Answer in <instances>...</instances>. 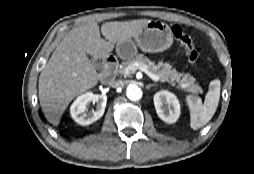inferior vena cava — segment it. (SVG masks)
Returning <instances> with one entry per match:
<instances>
[{
	"label": "inferior vena cava",
	"mask_w": 254,
	"mask_h": 174,
	"mask_svg": "<svg viewBox=\"0 0 254 174\" xmlns=\"http://www.w3.org/2000/svg\"><path fill=\"white\" fill-rule=\"evenodd\" d=\"M123 81L122 80H115V81H112L110 83V86L113 87V88H119V87H122L123 86Z\"/></svg>",
	"instance_id": "602c4592"
}]
</instances>
